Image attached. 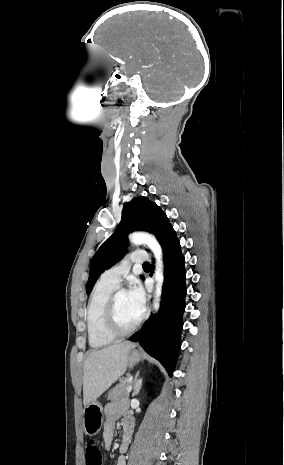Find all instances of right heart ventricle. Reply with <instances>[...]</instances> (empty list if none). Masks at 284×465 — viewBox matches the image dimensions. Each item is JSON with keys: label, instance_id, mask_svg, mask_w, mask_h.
Listing matches in <instances>:
<instances>
[{"label": "right heart ventricle", "instance_id": "right-heart-ventricle-1", "mask_svg": "<svg viewBox=\"0 0 284 465\" xmlns=\"http://www.w3.org/2000/svg\"><path fill=\"white\" fill-rule=\"evenodd\" d=\"M116 287L99 279L90 293L85 315L89 346H110L115 341L105 331L104 321L109 297Z\"/></svg>", "mask_w": 284, "mask_h": 465}]
</instances>
